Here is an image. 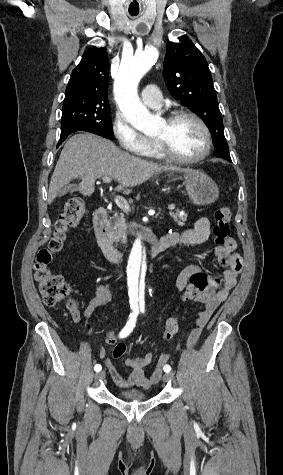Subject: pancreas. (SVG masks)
Returning a JSON list of instances; mask_svg holds the SVG:
<instances>
[{"label": "pancreas", "instance_id": "cf45deb5", "mask_svg": "<svg viewBox=\"0 0 283 475\" xmlns=\"http://www.w3.org/2000/svg\"><path fill=\"white\" fill-rule=\"evenodd\" d=\"M171 216L174 222H177V226H185V222H187V214L180 216V210H176V214H173L172 212ZM125 222L126 220L124 218V214L117 216L115 220V226L108 234L110 241H119V239H122L123 243H126L127 224H125Z\"/></svg>", "mask_w": 283, "mask_h": 475}]
</instances>
